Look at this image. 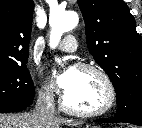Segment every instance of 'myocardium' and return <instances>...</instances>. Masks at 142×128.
Returning a JSON list of instances; mask_svg holds the SVG:
<instances>
[{
	"label": "myocardium",
	"mask_w": 142,
	"mask_h": 128,
	"mask_svg": "<svg viewBox=\"0 0 142 128\" xmlns=\"http://www.w3.org/2000/svg\"><path fill=\"white\" fill-rule=\"evenodd\" d=\"M76 69L80 71H88V72L96 73L102 78V80L104 81L107 87V92H108L107 102L100 109L93 110V111H86V110H81V109H77L75 107L70 106L66 102L65 94H64L60 99V105L62 109L71 114L82 116V117H97V116H101L108 113L114 107L116 103L115 86L113 84L112 79L108 75V73L101 67L94 64H89V63H78L76 65Z\"/></svg>",
	"instance_id": "myocardium-1"
}]
</instances>
